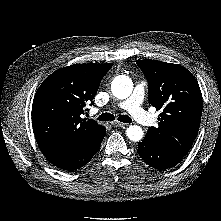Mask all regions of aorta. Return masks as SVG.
<instances>
[{"instance_id": "762f6f07", "label": "aorta", "mask_w": 221, "mask_h": 221, "mask_svg": "<svg viewBox=\"0 0 221 221\" xmlns=\"http://www.w3.org/2000/svg\"><path fill=\"white\" fill-rule=\"evenodd\" d=\"M111 91L116 98L126 99L133 91V82L129 77L120 75L112 82ZM126 135L130 140L137 142L142 139L143 130L140 126L132 125L127 128Z\"/></svg>"}]
</instances>
